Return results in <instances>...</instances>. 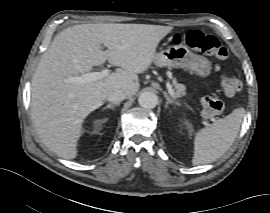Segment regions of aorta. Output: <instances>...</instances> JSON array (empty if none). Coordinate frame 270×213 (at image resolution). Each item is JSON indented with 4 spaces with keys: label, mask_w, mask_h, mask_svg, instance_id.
<instances>
[{
    "label": "aorta",
    "mask_w": 270,
    "mask_h": 213,
    "mask_svg": "<svg viewBox=\"0 0 270 213\" xmlns=\"http://www.w3.org/2000/svg\"><path fill=\"white\" fill-rule=\"evenodd\" d=\"M138 102L141 107L152 109L156 107L158 103V97L155 93L146 91L139 96Z\"/></svg>",
    "instance_id": "1"
}]
</instances>
